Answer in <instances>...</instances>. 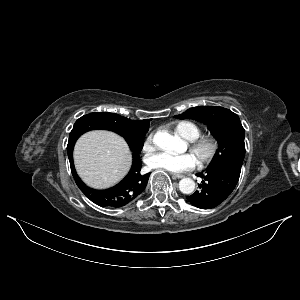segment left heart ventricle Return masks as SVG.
I'll list each match as a JSON object with an SVG mask.
<instances>
[{"instance_id": "obj_1", "label": "left heart ventricle", "mask_w": 300, "mask_h": 300, "mask_svg": "<svg viewBox=\"0 0 300 300\" xmlns=\"http://www.w3.org/2000/svg\"><path fill=\"white\" fill-rule=\"evenodd\" d=\"M194 155H195L196 158H198V154L197 153H194Z\"/></svg>"}]
</instances>
